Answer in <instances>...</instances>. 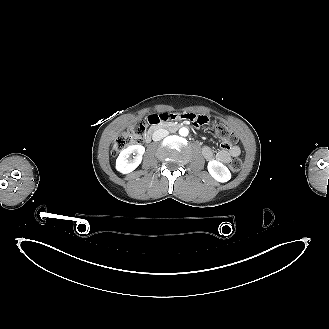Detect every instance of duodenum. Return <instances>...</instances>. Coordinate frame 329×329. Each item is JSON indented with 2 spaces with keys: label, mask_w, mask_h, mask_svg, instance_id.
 Returning a JSON list of instances; mask_svg holds the SVG:
<instances>
[{
  "label": "duodenum",
  "mask_w": 329,
  "mask_h": 329,
  "mask_svg": "<svg viewBox=\"0 0 329 329\" xmlns=\"http://www.w3.org/2000/svg\"><path fill=\"white\" fill-rule=\"evenodd\" d=\"M149 123H150V128L145 135V141L147 143H149L151 141L152 135L156 130H158L160 128H168V129L175 130V129H178L180 126L179 124L174 123V122L170 121L169 119H165L163 117V114L152 115L149 118Z\"/></svg>",
  "instance_id": "obj_1"
}]
</instances>
